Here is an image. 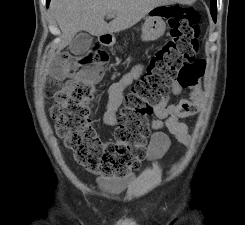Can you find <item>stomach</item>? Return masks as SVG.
Segmentation results:
<instances>
[{"label": "stomach", "mask_w": 245, "mask_h": 225, "mask_svg": "<svg viewBox=\"0 0 245 225\" xmlns=\"http://www.w3.org/2000/svg\"><path fill=\"white\" fill-rule=\"evenodd\" d=\"M166 5H160L153 8L142 26L141 38L143 41H155L160 38L166 30V23L163 20L164 9Z\"/></svg>", "instance_id": "stomach-1"}]
</instances>
